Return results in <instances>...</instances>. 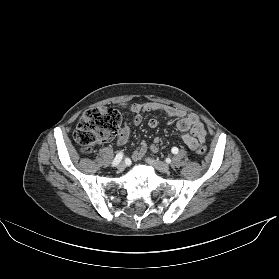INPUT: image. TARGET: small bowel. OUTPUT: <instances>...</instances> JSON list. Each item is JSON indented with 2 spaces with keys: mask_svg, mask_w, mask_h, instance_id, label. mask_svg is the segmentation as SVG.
Returning a JSON list of instances; mask_svg holds the SVG:
<instances>
[{
  "mask_svg": "<svg viewBox=\"0 0 279 279\" xmlns=\"http://www.w3.org/2000/svg\"><path fill=\"white\" fill-rule=\"evenodd\" d=\"M128 110L134 115L133 122L135 125H139L142 122V113L158 111L169 118H177V128L181 132L179 138L191 149L195 150L198 146H204L206 140V129L204 124L195 114H187L183 110L176 109L172 106L165 105L157 102H145V103H131L128 105ZM159 124L157 117L150 118L148 126L150 128H156ZM130 135V129L127 125L120 131L118 138V145L123 146L127 143ZM159 139L155 138L151 146L152 151H156L158 148ZM147 144L141 142L139 147L134 152L133 158L140 160L145 154Z\"/></svg>",
  "mask_w": 279,
  "mask_h": 279,
  "instance_id": "c3829d8e",
  "label": "small bowel"
}]
</instances>
